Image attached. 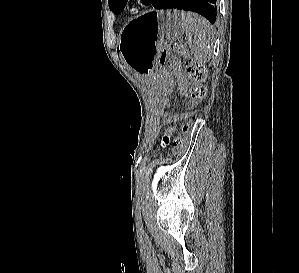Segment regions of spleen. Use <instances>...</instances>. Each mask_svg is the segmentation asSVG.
Here are the masks:
<instances>
[{
    "mask_svg": "<svg viewBox=\"0 0 299 273\" xmlns=\"http://www.w3.org/2000/svg\"><path fill=\"white\" fill-rule=\"evenodd\" d=\"M181 21L192 56L201 63H207L213 56V27L204 17L192 12L181 11Z\"/></svg>",
    "mask_w": 299,
    "mask_h": 273,
    "instance_id": "spleen-1",
    "label": "spleen"
}]
</instances>
